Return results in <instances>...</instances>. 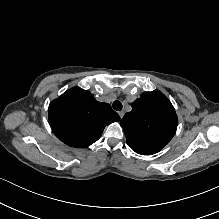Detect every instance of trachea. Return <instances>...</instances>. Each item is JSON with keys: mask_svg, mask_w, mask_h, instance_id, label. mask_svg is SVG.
Here are the masks:
<instances>
[{"mask_svg": "<svg viewBox=\"0 0 219 219\" xmlns=\"http://www.w3.org/2000/svg\"><path fill=\"white\" fill-rule=\"evenodd\" d=\"M122 108H123V105H122V103L119 100H115L113 102V109L114 110L120 111V110H122Z\"/></svg>", "mask_w": 219, "mask_h": 219, "instance_id": "trachea-1", "label": "trachea"}]
</instances>
